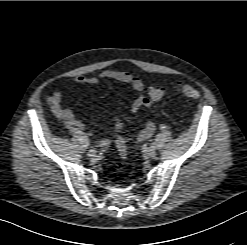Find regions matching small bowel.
Returning a JSON list of instances; mask_svg holds the SVG:
<instances>
[{"label": "small bowel", "instance_id": "c3829d8e", "mask_svg": "<svg viewBox=\"0 0 247 245\" xmlns=\"http://www.w3.org/2000/svg\"><path fill=\"white\" fill-rule=\"evenodd\" d=\"M101 80H113L126 85L131 86L136 92L137 97L133 101L130 111L135 114L140 110L149 112L151 110V101L145 96L148 90L145 83L137 76L117 69H106L102 71L98 76H86L80 75L75 78L76 84H89L96 85ZM62 93L60 91H54L48 98V104L54 116L59 119L65 127L74 134H81L85 132V125L78 120L73 111L70 108L63 106ZM122 128V121L119 117H116L114 124V131L118 132ZM155 124L152 121H147L144 128L140 131L136 138V144L143 143L148 140L155 132ZM110 146V141L104 139L100 142L102 149H107Z\"/></svg>", "mask_w": 247, "mask_h": 245}]
</instances>
